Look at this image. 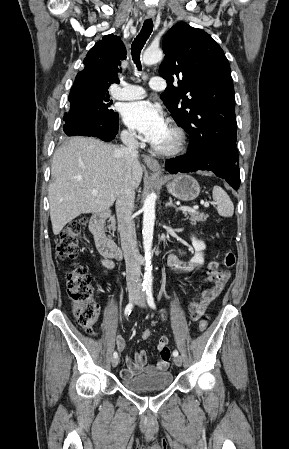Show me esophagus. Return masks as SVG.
I'll return each mask as SVG.
<instances>
[{
  "label": "esophagus",
  "instance_id": "obj_1",
  "mask_svg": "<svg viewBox=\"0 0 289 449\" xmlns=\"http://www.w3.org/2000/svg\"><path fill=\"white\" fill-rule=\"evenodd\" d=\"M148 18H154L155 17V12H148L147 13ZM143 160L145 162V164L152 170L160 172L161 171V166L159 164V162L155 159H153L152 157L148 156V155H143Z\"/></svg>",
  "mask_w": 289,
  "mask_h": 449
}]
</instances>
